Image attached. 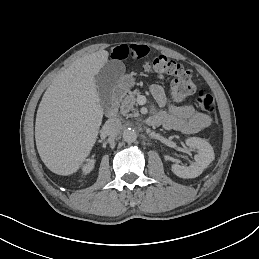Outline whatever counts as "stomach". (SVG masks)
<instances>
[{
  "instance_id": "obj_1",
  "label": "stomach",
  "mask_w": 259,
  "mask_h": 259,
  "mask_svg": "<svg viewBox=\"0 0 259 259\" xmlns=\"http://www.w3.org/2000/svg\"><path fill=\"white\" fill-rule=\"evenodd\" d=\"M134 83V78L129 75H126L121 79L120 86L128 90L131 86L134 85Z\"/></svg>"
}]
</instances>
